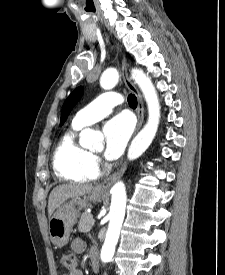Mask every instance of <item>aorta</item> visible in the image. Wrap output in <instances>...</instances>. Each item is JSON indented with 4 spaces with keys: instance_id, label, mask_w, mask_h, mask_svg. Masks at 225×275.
<instances>
[{
    "instance_id": "aorta-1",
    "label": "aorta",
    "mask_w": 225,
    "mask_h": 275,
    "mask_svg": "<svg viewBox=\"0 0 225 275\" xmlns=\"http://www.w3.org/2000/svg\"><path fill=\"white\" fill-rule=\"evenodd\" d=\"M131 76L145 97L149 114L146 125L133 139L128 150V159L135 160L146 151L156 135L160 119V104L151 79L142 70L133 69ZM118 79V71L114 68H109L102 74L100 85L103 89L109 90L115 87ZM100 142L101 137L91 129H84L80 133V144L83 147L96 148L100 145ZM111 193V206L108 214L109 225L100 255L104 263L109 262L114 255L125 217L127 201L126 188L122 181L114 184L111 188Z\"/></svg>"
}]
</instances>
